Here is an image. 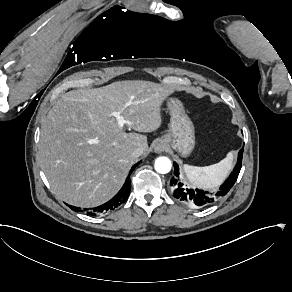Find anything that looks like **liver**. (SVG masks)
I'll return each mask as SVG.
<instances>
[{"label": "liver", "instance_id": "6515ba94", "mask_svg": "<svg viewBox=\"0 0 292 292\" xmlns=\"http://www.w3.org/2000/svg\"><path fill=\"white\" fill-rule=\"evenodd\" d=\"M174 92L149 81L115 82L64 94L43 121L39 162L56 195L75 206L108 201L135 163L136 148L148 154L147 137L127 133L113 116L138 132L163 125L162 106Z\"/></svg>", "mask_w": 292, "mask_h": 292}]
</instances>
